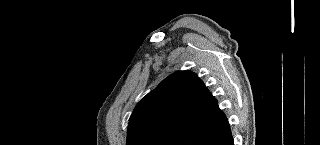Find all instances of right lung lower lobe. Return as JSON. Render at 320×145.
Instances as JSON below:
<instances>
[{"label": "right lung lower lobe", "mask_w": 320, "mask_h": 145, "mask_svg": "<svg viewBox=\"0 0 320 145\" xmlns=\"http://www.w3.org/2000/svg\"><path fill=\"white\" fill-rule=\"evenodd\" d=\"M167 145H234L230 125L220 110L210 120L177 133Z\"/></svg>", "instance_id": "right-lung-lower-lobe-1"}]
</instances>
